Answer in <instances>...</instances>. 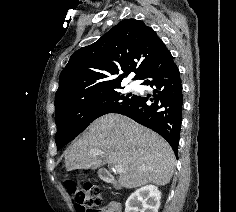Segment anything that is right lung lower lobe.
<instances>
[{
  "label": "right lung lower lobe",
  "mask_w": 236,
  "mask_h": 212,
  "mask_svg": "<svg viewBox=\"0 0 236 212\" xmlns=\"http://www.w3.org/2000/svg\"><path fill=\"white\" fill-rule=\"evenodd\" d=\"M154 88L153 94L136 96L114 113L124 114L160 134L178 152L182 122V84L180 72L167 48L139 78Z\"/></svg>",
  "instance_id": "right-lung-lower-lobe-1"
}]
</instances>
